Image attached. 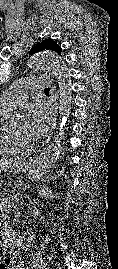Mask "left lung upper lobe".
I'll use <instances>...</instances> for the list:
<instances>
[{
	"instance_id": "1",
	"label": "left lung upper lobe",
	"mask_w": 118,
	"mask_h": 269,
	"mask_svg": "<svg viewBox=\"0 0 118 269\" xmlns=\"http://www.w3.org/2000/svg\"><path fill=\"white\" fill-rule=\"evenodd\" d=\"M44 50H51L57 52L61 55L62 48L54 41L50 39H46L42 41L40 44L33 46L30 50V55H33L36 52L44 51Z\"/></svg>"
}]
</instances>
